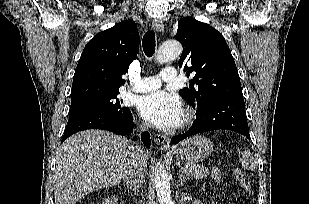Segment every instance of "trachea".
I'll return each instance as SVG.
<instances>
[{"mask_svg":"<svg viewBox=\"0 0 309 204\" xmlns=\"http://www.w3.org/2000/svg\"><path fill=\"white\" fill-rule=\"evenodd\" d=\"M144 53L147 57H152L155 52V33L154 31H148L142 41Z\"/></svg>","mask_w":309,"mask_h":204,"instance_id":"obj_1","label":"trachea"}]
</instances>
